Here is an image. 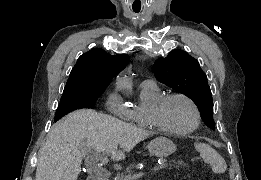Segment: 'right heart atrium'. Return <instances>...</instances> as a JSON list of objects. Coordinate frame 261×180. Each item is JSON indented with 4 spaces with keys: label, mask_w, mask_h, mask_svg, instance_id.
Here are the masks:
<instances>
[{
    "label": "right heart atrium",
    "mask_w": 261,
    "mask_h": 180,
    "mask_svg": "<svg viewBox=\"0 0 261 180\" xmlns=\"http://www.w3.org/2000/svg\"><path fill=\"white\" fill-rule=\"evenodd\" d=\"M118 92L117 90H113L112 92H110V94L108 95L106 102L107 104H114L117 102L118 100ZM113 114H119V117H122V120H126L127 119V115L125 114L124 111H117L114 112ZM124 127H126V125H124Z\"/></svg>",
    "instance_id": "right-heart-atrium-1"
}]
</instances>
